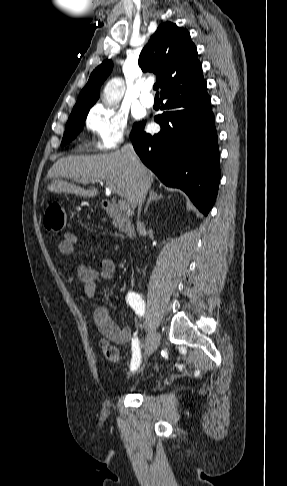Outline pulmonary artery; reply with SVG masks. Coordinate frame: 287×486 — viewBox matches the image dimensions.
<instances>
[{"label":"pulmonary artery","instance_id":"1","mask_svg":"<svg viewBox=\"0 0 287 486\" xmlns=\"http://www.w3.org/2000/svg\"><path fill=\"white\" fill-rule=\"evenodd\" d=\"M151 84H144L141 89V93L139 96L140 102L145 107H152L154 104V97L150 93L151 91Z\"/></svg>","mask_w":287,"mask_h":486}]
</instances>
